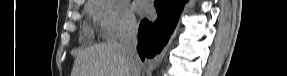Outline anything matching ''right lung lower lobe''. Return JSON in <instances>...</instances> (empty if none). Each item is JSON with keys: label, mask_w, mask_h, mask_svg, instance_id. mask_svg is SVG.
<instances>
[{"label": "right lung lower lobe", "mask_w": 287, "mask_h": 76, "mask_svg": "<svg viewBox=\"0 0 287 76\" xmlns=\"http://www.w3.org/2000/svg\"><path fill=\"white\" fill-rule=\"evenodd\" d=\"M187 0H155L154 5L158 12L155 22L143 20L139 26L137 45L142 60L153 58L159 53L173 33L178 17Z\"/></svg>", "instance_id": "98d812e1"}]
</instances>
